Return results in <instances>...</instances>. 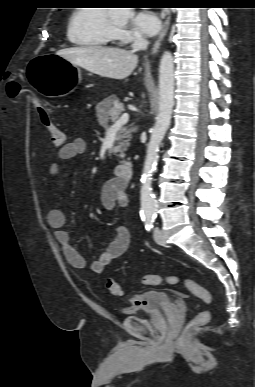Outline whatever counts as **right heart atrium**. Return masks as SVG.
Listing matches in <instances>:
<instances>
[{
	"label": "right heart atrium",
	"instance_id": "1",
	"mask_svg": "<svg viewBox=\"0 0 255 387\" xmlns=\"http://www.w3.org/2000/svg\"><path fill=\"white\" fill-rule=\"evenodd\" d=\"M114 34H115V39H117L123 43L140 39V37L138 35L130 32L124 28H115Z\"/></svg>",
	"mask_w": 255,
	"mask_h": 387
}]
</instances>
